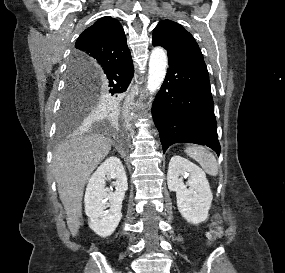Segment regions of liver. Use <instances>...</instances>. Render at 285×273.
<instances>
[{
    "label": "liver",
    "instance_id": "liver-1",
    "mask_svg": "<svg viewBox=\"0 0 285 273\" xmlns=\"http://www.w3.org/2000/svg\"><path fill=\"white\" fill-rule=\"evenodd\" d=\"M110 150L111 140L104 136L78 135L60 144L54 153L52 171L72 236L80 228L85 184Z\"/></svg>",
    "mask_w": 285,
    "mask_h": 273
}]
</instances>
